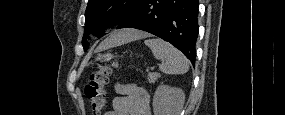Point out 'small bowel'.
<instances>
[{
  "instance_id": "small-bowel-1",
  "label": "small bowel",
  "mask_w": 285,
  "mask_h": 115,
  "mask_svg": "<svg viewBox=\"0 0 285 115\" xmlns=\"http://www.w3.org/2000/svg\"><path fill=\"white\" fill-rule=\"evenodd\" d=\"M120 94L112 100V110L105 115H150V96L136 84L117 83Z\"/></svg>"
}]
</instances>
